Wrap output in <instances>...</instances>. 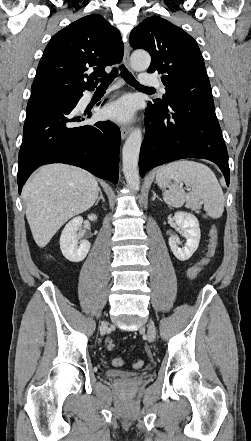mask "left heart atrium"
<instances>
[{"mask_svg":"<svg viewBox=\"0 0 251 441\" xmlns=\"http://www.w3.org/2000/svg\"><path fill=\"white\" fill-rule=\"evenodd\" d=\"M135 110L134 101L124 97L107 105L103 110V116L118 122H128L133 119Z\"/></svg>","mask_w":251,"mask_h":441,"instance_id":"39dd6f15","label":"left heart atrium"}]
</instances>
